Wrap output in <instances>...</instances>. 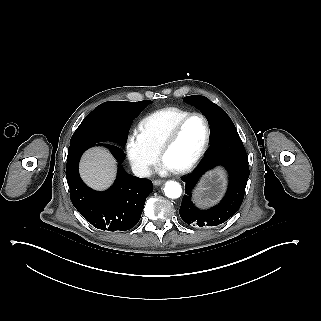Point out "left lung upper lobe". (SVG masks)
<instances>
[{
  "label": "left lung upper lobe",
  "instance_id": "obj_1",
  "mask_svg": "<svg viewBox=\"0 0 321 321\" xmlns=\"http://www.w3.org/2000/svg\"><path fill=\"white\" fill-rule=\"evenodd\" d=\"M184 101L191 103L192 105L197 107L201 111V113L207 118L211 128V137L229 131H236V128L230 117L227 115V113L206 97L192 95L185 97Z\"/></svg>",
  "mask_w": 321,
  "mask_h": 321
}]
</instances>
